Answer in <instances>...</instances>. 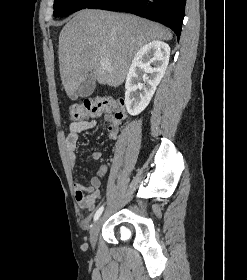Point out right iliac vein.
Returning a JSON list of instances; mask_svg holds the SVG:
<instances>
[{"label":"right iliac vein","mask_w":247,"mask_h":280,"mask_svg":"<svg viewBox=\"0 0 247 280\" xmlns=\"http://www.w3.org/2000/svg\"><path fill=\"white\" fill-rule=\"evenodd\" d=\"M101 227V219L96 220L90 230V242L93 247H95L97 242L98 233Z\"/></svg>","instance_id":"obj_1"}]
</instances>
